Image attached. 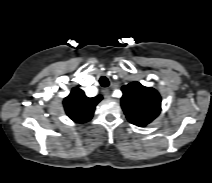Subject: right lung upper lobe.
<instances>
[{"label": "right lung upper lobe", "mask_w": 212, "mask_h": 183, "mask_svg": "<svg viewBox=\"0 0 212 183\" xmlns=\"http://www.w3.org/2000/svg\"><path fill=\"white\" fill-rule=\"evenodd\" d=\"M101 100V95L88 98L81 89L75 87L64 99L63 104L70 119L78 123H85L92 118L95 106Z\"/></svg>", "instance_id": "1"}]
</instances>
